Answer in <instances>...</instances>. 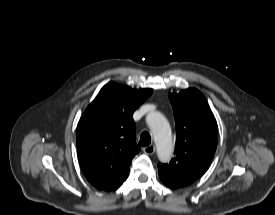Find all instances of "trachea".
Listing matches in <instances>:
<instances>
[{
  "instance_id": "trachea-1",
  "label": "trachea",
  "mask_w": 275,
  "mask_h": 215,
  "mask_svg": "<svg viewBox=\"0 0 275 215\" xmlns=\"http://www.w3.org/2000/svg\"><path fill=\"white\" fill-rule=\"evenodd\" d=\"M151 143V136L148 132H143L140 136L139 145L140 146H149Z\"/></svg>"
}]
</instances>
